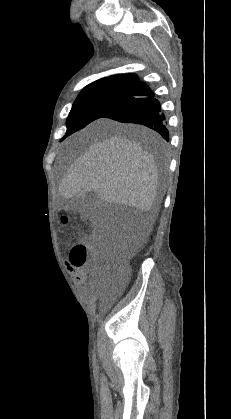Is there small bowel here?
Listing matches in <instances>:
<instances>
[{
    "mask_svg": "<svg viewBox=\"0 0 231 419\" xmlns=\"http://www.w3.org/2000/svg\"><path fill=\"white\" fill-rule=\"evenodd\" d=\"M69 268L75 269V280L78 284H84L88 280V274L83 268H75V266L68 263Z\"/></svg>",
    "mask_w": 231,
    "mask_h": 419,
    "instance_id": "1",
    "label": "small bowel"
}]
</instances>
